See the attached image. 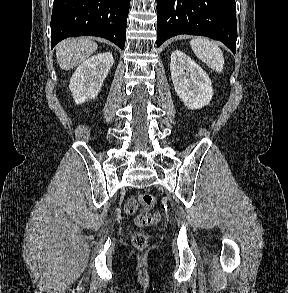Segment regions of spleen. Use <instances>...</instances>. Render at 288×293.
<instances>
[{"mask_svg":"<svg viewBox=\"0 0 288 293\" xmlns=\"http://www.w3.org/2000/svg\"><path fill=\"white\" fill-rule=\"evenodd\" d=\"M195 55L209 67L221 73L224 66V57L217 44L206 38H195L190 41Z\"/></svg>","mask_w":288,"mask_h":293,"instance_id":"spleen-1","label":"spleen"}]
</instances>
